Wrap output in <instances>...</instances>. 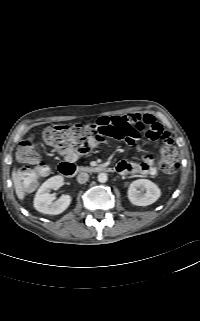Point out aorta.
<instances>
[{
    "label": "aorta",
    "instance_id": "aorta-1",
    "mask_svg": "<svg viewBox=\"0 0 200 321\" xmlns=\"http://www.w3.org/2000/svg\"><path fill=\"white\" fill-rule=\"evenodd\" d=\"M108 180V176L106 173H99L98 174V181L100 183H105Z\"/></svg>",
    "mask_w": 200,
    "mask_h": 321
}]
</instances>
